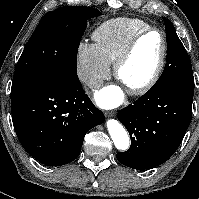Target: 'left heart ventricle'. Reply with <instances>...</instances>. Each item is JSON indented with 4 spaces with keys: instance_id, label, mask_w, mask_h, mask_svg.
I'll use <instances>...</instances> for the list:
<instances>
[{
    "instance_id": "1",
    "label": "left heart ventricle",
    "mask_w": 199,
    "mask_h": 199,
    "mask_svg": "<svg viewBox=\"0 0 199 199\" xmlns=\"http://www.w3.org/2000/svg\"><path fill=\"white\" fill-rule=\"evenodd\" d=\"M161 37L151 33L144 37L120 70L119 81L125 88L137 87L146 82L159 61Z\"/></svg>"
}]
</instances>
